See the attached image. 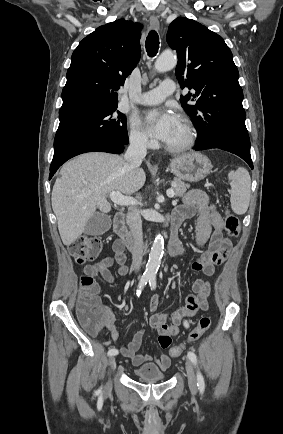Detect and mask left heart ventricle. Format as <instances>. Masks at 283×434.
<instances>
[{
  "mask_svg": "<svg viewBox=\"0 0 283 434\" xmlns=\"http://www.w3.org/2000/svg\"><path fill=\"white\" fill-rule=\"evenodd\" d=\"M185 138V129L183 123L179 119V123L173 136L167 141L169 144H180Z\"/></svg>",
  "mask_w": 283,
  "mask_h": 434,
  "instance_id": "left-heart-ventricle-1",
  "label": "left heart ventricle"
}]
</instances>
